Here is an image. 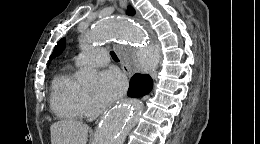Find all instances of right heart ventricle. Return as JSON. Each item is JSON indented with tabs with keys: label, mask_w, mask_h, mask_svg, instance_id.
Here are the masks:
<instances>
[{
	"label": "right heart ventricle",
	"mask_w": 260,
	"mask_h": 144,
	"mask_svg": "<svg viewBox=\"0 0 260 144\" xmlns=\"http://www.w3.org/2000/svg\"><path fill=\"white\" fill-rule=\"evenodd\" d=\"M50 104L61 119L76 120L85 114L84 92L73 77L71 68H66L53 79Z\"/></svg>",
	"instance_id": "1"
}]
</instances>
